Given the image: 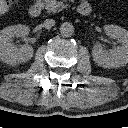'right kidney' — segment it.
<instances>
[{"label":"right kidney","mask_w":128,"mask_h":128,"mask_svg":"<svg viewBox=\"0 0 128 128\" xmlns=\"http://www.w3.org/2000/svg\"><path fill=\"white\" fill-rule=\"evenodd\" d=\"M29 34V27L18 24L0 31V60L6 64L16 65L29 61L33 57V48L26 44L16 47L11 41L13 37H25Z\"/></svg>","instance_id":"ca27d5eb"}]
</instances>
